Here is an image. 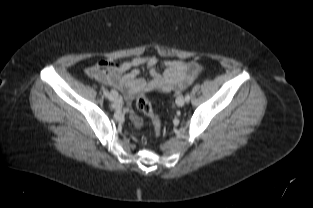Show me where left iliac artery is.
Listing matches in <instances>:
<instances>
[{"label":"left iliac artery","instance_id":"obj_1","mask_svg":"<svg viewBox=\"0 0 313 208\" xmlns=\"http://www.w3.org/2000/svg\"><path fill=\"white\" fill-rule=\"evenodd\" d=\"M185 100H186V101H189V100H190V95H189V94H186Z\"/></svg>","mask_w":313,"mask_h":208}]
</instances>
